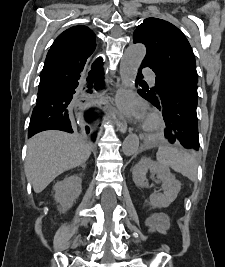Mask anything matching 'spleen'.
I'll return each instance as SVG.
<instances>
[{
	"mask_svg": "<svg viewBox=\"0 0 225 267\" xmlns=\"http://www.w3.org/2000/svg\"><path fill=\"white\" fill-rule=\"evenodd\" d=\"M156 158L160 165L171 167L175 172L182 174L189 180L196 181L197 161L191 154L163 145L158 148Z\"/></svg>",
	"mask_w": 225,
	"mask_h": 267,
	"instance_id": "3e777b00",
	"label": "spleen"
}]
</instances>
